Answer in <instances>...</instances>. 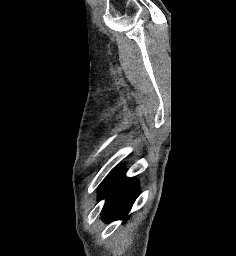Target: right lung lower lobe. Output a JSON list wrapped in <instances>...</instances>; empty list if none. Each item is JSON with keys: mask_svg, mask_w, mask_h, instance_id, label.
Wrapping results in <instances>:
<instances>
[{"mask_svg": "<svg viewBox=\"0 0 236 256\" xmlns=\"http://www.w3.org/2000/svg\"><path fill=\"white\" fill-rule=\"evenodd\" d=\"M125 169H115L99 187L98 200L106 199L102 218L106 223L126 218L139 193L138 181L125 176Z\"/></svg>", "mask_w": 236, "mask_h": 256, "instance_id": "right-lung-lower-lobe-1", "label": "right lung lower lobe"}]
</instances>
